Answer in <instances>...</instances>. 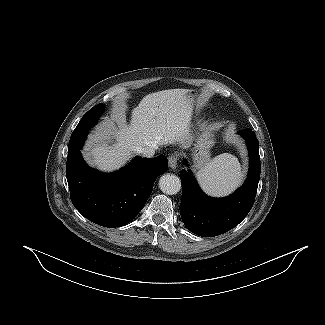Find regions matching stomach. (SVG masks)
I'll return each instance as SVG.
<instances>
[{"label": "stomach", "mask_w": 325, "mask_h": 325, "mask_svg": "<svg viewBox=\"0 0 325 325\" xmlns=\"http://www.w3.org/2000/svg\"><path fill=\"white\" fill-rule=\"evenodd\" d=\"M187 95L191 101H193L196 97V93L191 90ZM213 145L214 138L211 133L205 131L198 135L192 149L193 163L195 168H202L208 161H210V148Z\"/></svg>", "instance_id": "stomach-1"}]
</instances>
